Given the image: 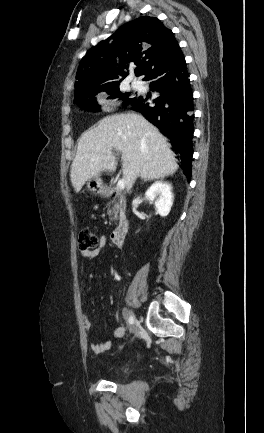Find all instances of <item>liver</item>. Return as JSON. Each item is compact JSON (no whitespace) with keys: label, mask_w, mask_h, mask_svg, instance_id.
<instances>
[{"label":"liver","mask_w":264,"mask_h":433,"mask_svg":"<svg viewBox=\"0 0 264 433\" xmlns=\"http://www.w3.org/2000/svg\"><path fill=\"white\" fill-rule=\"evenodd\" d=\"M114 149L122 153L123 178L128 189L137 176L160 179L178 169L167 139L144 117L130 112L112 115L101 119L79 139L70 171L77 193L87 180L116 170Z\"/></svg>","instance_id":"liver-1"}]
</instances>
